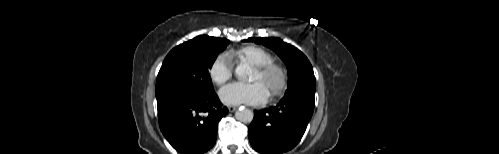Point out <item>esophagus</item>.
Segmentation results:
<instances>
[{
	"instance_id": "1",
	"label": "esophagus",
	"mask_w": 499,
	"mask_h": 154,
	"mask_svg": "<svg viewBox=\"0 0 499 154\" xmlns=\"http://www.w3.org/2000/svg\"><path fill=\"white\" fill-rule=\"evenodd\" d=\"M236 109H237V107H235V106L228 107L229 112H234Z\"/></svg>"
}]
</instances>
